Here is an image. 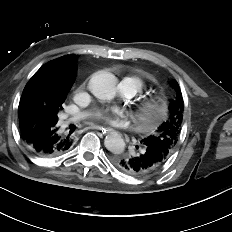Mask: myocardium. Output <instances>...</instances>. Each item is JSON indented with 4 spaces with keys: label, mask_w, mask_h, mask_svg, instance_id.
<instances>
[{
    "label": "myocardium",
    "mask_w": 232,
    "mask_h": 232,
    "mask_svg": "<svg viewBox=\"0 0 232 232\" xmlns=\"http://www.w3.org/2000/svg\"><path fill=\"white\" fill-rule=\"evenodd\" d=\"M164 104L160 98L147 97L137 107V118L143 125H152L158 122L163 115Z\"/></svg>",
    "instance_id": "1"
}]
</instances>
